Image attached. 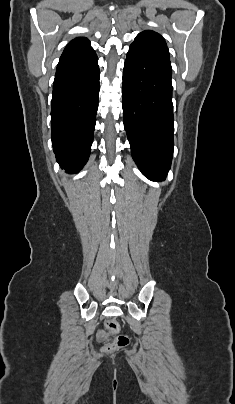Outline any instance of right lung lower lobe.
Listing matches in <instances>:
<instances>
[{
    "label": "right lung lower lobe",
    "mask_w": 235,
    "mask_h": 404,
    "mask_svg": "<svg viewBox=\"0 0 235 404\" xmlns=\"http://www.w3.org/2000/svg\"><path fill=\"white\" fill-rule=\"evenodd\" d=\"M97 56L57 65L52 95V146L68 173L88 160L98 109L100 71Z\"/></svg>",
    "instance_id": "obj_1"
}]
</instances>
